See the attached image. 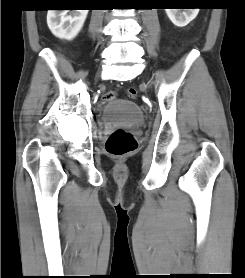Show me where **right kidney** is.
<instances>
[{"instance_id": "ca27d5eb", "label": "right kidney", "mask_w": 245, "mask_h": 278, "mask_svg": "<svg viewBox=\"0 0 245 278\" xmlns=\"http://www.w3.org/2000/svg\"><path fill=\"white\" fill-rule=\"evenodd\" d=\"M88 10H48L47 24L54 36L72 40L83 27Z\"/></svg>"}]
</instances>
